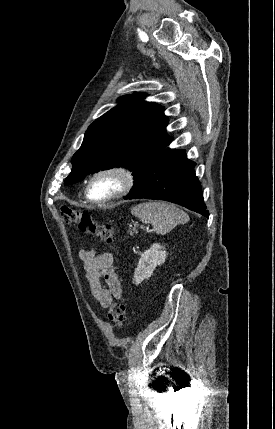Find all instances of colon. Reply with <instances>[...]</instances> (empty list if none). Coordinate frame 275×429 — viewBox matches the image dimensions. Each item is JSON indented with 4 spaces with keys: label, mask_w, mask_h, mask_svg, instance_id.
<instances>
[{
    "label": "colon",
    "mask_w": 275,
    "mask_h": 429,
    "mask_svg": "<svg viewBox=\"0 0 275 429\" xmlns=\"http://www.w3.org/2000/svg\"><path fill=\"white\" fill-rule=\"evenodd\" d=\"M61 216L68 226H76L81 232L91 234L107 245L113 243V228L109 224L95 221L90 214L85 211L61 207ZM108 318L117 327L121 328L126 320V305L122 302H114L108 308Z\"/></svg>",
    "instance_id": "colon-1"
}]
</instances>
